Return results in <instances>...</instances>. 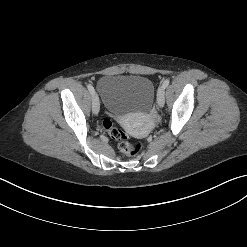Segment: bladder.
<instances>
[{
	"label": "bladder",
	"mask_w": 247,
	"mask_h": 247,
	"mask_svg": "<svg viewBox=\"0 0 247 247\" xmlns=\"http://www.w3.org/2000/svg\"><path fill=\"white\" fill-rule=\"evenodd\" d=\"M106 110L115 119L130 112H147L153 102L154 85L143 76H104L96 87Z\"/></svg>",
	"instance_id": "1"
}]
</instances>
